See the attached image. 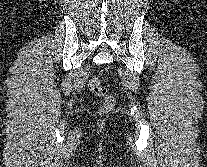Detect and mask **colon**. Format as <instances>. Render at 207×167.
<instances>
[{
    "label": "colon",
    "mask_w": 207,
    "mask_h": 167,
    "mask_svg": "<svg viewBox=\"0 0 207 167\" xmlns=\"http://www.w3.org/2000/svg\"><path fill=\"white\" fill-rule=\"evenodd\" d=\"M89 90L92 94L103 98V103L101 106L102 112H108L114 107L115 98L108 94L106 87L100 82L98 78H93L90 80Z\"/></svg>",
    "instance_id": "1"
}]
</instances>
